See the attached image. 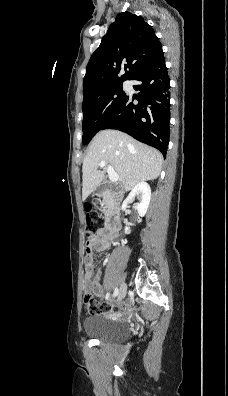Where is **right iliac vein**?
Wrapping results in <instances>:
<instances>
[{
    "mask_svg": "<svg viewBox=\"0 0 228 396\" xmlns=\"http://www.w3.org/2000/svg\"><path fill=\"white\" fill-rule=\"evenodd\" d=\"M126 291H127L126 284L123 283L118 292V300L124 299V297L126 296Z\"/></svg>",
    "mask_w": 228,
    "mask_h": 396,
    "instance_id": "1",
    "label": "right iliac vein"
}]
</instances>
